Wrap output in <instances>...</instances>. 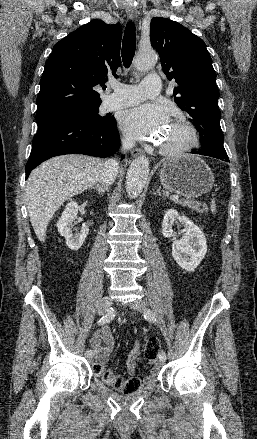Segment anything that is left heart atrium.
Here are the masks:
<instances>
[{"label": "left heart atrium", "mask_w": 257, "mask_h": 439, "mask_svg": "<svg viewBox=\"0 0 257 439\" xmlns=\"http://www.w3.org/2000/svg\"><path fill=\"white\" fill-rule=\"evenodd\" d=\"M168 122V110L163 105L152 103L124 110L119 118L121 129L136 139L156 138Z\"/></svg>", "instance_id": "obj_1"}]
</instances>
